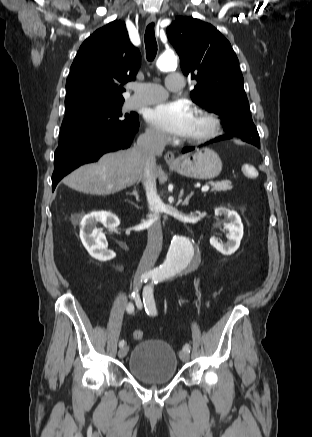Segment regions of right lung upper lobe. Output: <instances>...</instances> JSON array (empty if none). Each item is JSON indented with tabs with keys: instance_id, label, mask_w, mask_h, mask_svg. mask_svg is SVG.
Listing matches in <instances>:
<instances>
[{
	"instance_id": "1",
	"label": "right lung upper lobe",
	"mask_w": 312,
	"mask_h": 437,
	"mask_svg": "<svg viewBox=\"0 0 312 437\" xmlns=\"http://www.w3.org/2000/svg\"><path fill=\"white\" fill-rule=\"evenodd\" d=\"M141 54L125 23L113 21L88 37L76 54L66 80V107L85 103H120L123 85L133 81Z\"/></svg>"
}]
</instances>
